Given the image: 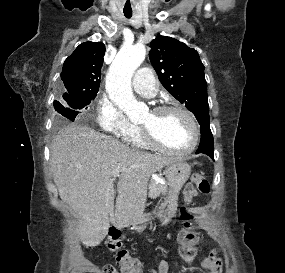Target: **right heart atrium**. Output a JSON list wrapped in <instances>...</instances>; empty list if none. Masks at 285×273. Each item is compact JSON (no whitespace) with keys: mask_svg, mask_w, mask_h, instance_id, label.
I'll return each instance as SVG.
<instances>
[{"mask_svg":"<svg viewBox=\"0 0 285 273\" xmlns=\"http://www.w3.org/2000/svg\"><path fill=\"white\" fill-rule=\"evenodd\" d=\"M96 121L104 132L117 137L124 138L138 129L136 125L125 118L114 104L106 99H101L98 103Z\"/></svg>","mask_w":285,"mask_h":273,"instance_id":"1","label":"right heart atrium"}]
</instances>
